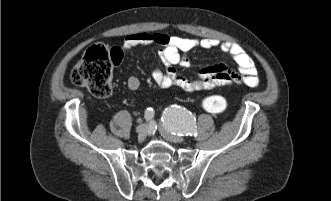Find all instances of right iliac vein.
I'll use <instances>...</instances> for the list:
<instances>
[{
	"label": "right iliac vein",
	"instance_id": "63e3f726",
	"mask_svg": "<svg viewBox=\"0 0 331 201\" xmlns=\"http://www.w3.org/2000/svg\"><path fill=\"white\" fill-rule=\"evenodd\" d=\"M147 131V125L146 124H140L137 126L136 128V132L140 135V136H144L145 133Z\"/></svg>",
	"mask_w": 331,
	"mask_h": 201
}]
</instances>
